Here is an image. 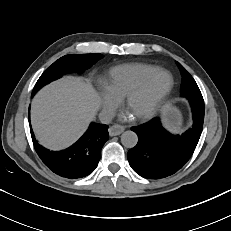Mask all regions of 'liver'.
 Segmentation results:
<instances>
[{"mask_svg":"<svg viewBox=\"0 0 231 231\" xmlns=\"http://www.w3.org/2000/svg\"><path fill=\"white\" fill-rule=\"evenodd\" d=\"M100 105L89 82L67 76L40 90L31 105V122L39 142L60 150L87 129Z\"/></svg>","mask_w":231,"mask_h":231,"instance_id":"obj_1","label":"liver"}]
</instances>
